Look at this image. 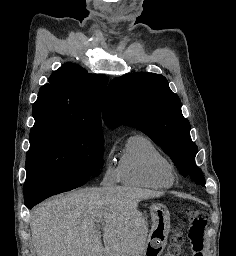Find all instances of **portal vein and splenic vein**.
I'll return each instance as SVG.
<instances>
[{"mask_svg": "<svg viewBox=\"0 0 236 256\" xmlns=\"http://www.w3.org/2000/svg\"><path fill=\"white\" fill-rule=\"evenodd\" d=\"M101 220H102V216H96V218H94L95 224H98V222H101Z\"/></svg>", "mask_w": 236, "mask_h": 256, "instance_id": "obj_1", "label": "portal vein and splenic vein"}]
</instances>
